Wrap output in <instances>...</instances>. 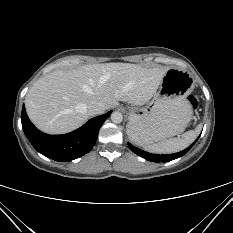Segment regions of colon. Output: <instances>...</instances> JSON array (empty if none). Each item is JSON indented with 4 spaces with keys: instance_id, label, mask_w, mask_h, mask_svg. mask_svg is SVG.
I'll return each instance as SVG.
<instances>
[{
    "instance_id": "5ec220e1",
    "label": "colon",
    "mask_w": 233,
    "mask_h": 233,
    "mask_svg": "<svg viewBox=\"0 0 233 233\" xmlns=\"http://www.w3.org/2000/svg\"><path fill=\"white\" fill-rule=\"evenodd\" d=\"M189 102L194 109H196L199 105V100H198V97L196 96H190Z\"/></svg>"
}]
</instances>
